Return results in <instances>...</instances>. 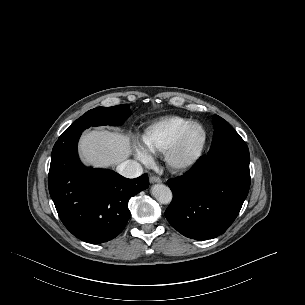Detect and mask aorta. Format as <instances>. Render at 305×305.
<instances>
[{
    "label": "aorta",
    "instance_id": "obj_1",
    "mask_svg": "<svg viewBox=\"0 0 305 305\" xmlns=\"http://www.w3.org/2000/svg\"><path fill=\"white\" fill-rule=\"evenodd\" d=\"M151 194L161 204H169L172 201V192L166 185H153L151 188Z\"/></svg>",
    "mask_w": 305,
    "mask_h": 305
}]
</instances>
